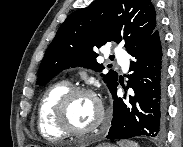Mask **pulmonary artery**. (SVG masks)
I'll return each instance as SVG.
<instances>
[{
    "label": "pulmonary artery",
    "mask_w": 183,
    "mask_h": 147,
    "mask_svg": "<svg viewBox=\"0 0 183 147\" xmlns=\"http://www.w3.org/2000/svg\"><path fill=\"white\" fill-rule=\"evenodd\" d=\"M114 55L118 58V59H121V65H122V68L124 70H127L128 69V61L126 59H123V57L125 56V53L120 50V49H116L114 50Z\"/></svg>",
    "instance_id": "obj_1"
}]
</instances>
